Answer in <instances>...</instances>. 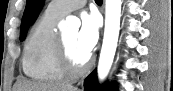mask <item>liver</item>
Here are the masks:
<instances>
[{
    "label": "liver",
    "instance_id": "obj_1",
    "mask_svg": "<svg viewBox=\"0 0 173 91\" xmlns=\"http://www.w3.org/2000/svg\"><path fill=\"white\" fill-rule=\"evenodd\" d=\"M13 91H77L73 86L61 83H40L18 80Z\"/></svg>",
    "mask_w": 173,
    "mask_h": 91
}]
</instances>
